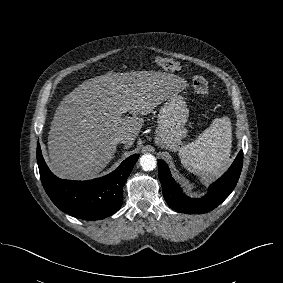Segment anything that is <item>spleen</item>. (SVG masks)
I'll use <instances>...</instances> for the list:
<instances>
[{
  "instance_id": "spleen-1",
  "label": "spleen",
  "mask_w": 283,
  "mask_h": 283,
  "mask_svg": "<svg viewBox=\"0 0 283 283\" xmlns=\"http://www.w3.org/2000/svg\"><path fill=\"white\" fill-rule=\"evenodd\" d=\"M232 147L228 117L216 118L196 140L179 149L182 165L199 176L219 174L226 166Z\"/></svg>"
}]
</instances>
